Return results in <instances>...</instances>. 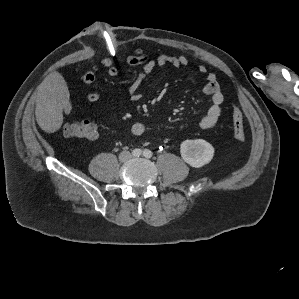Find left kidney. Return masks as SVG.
<instances>
[{
	"mask_svg": "<svg viewBox=\"0 0 299 299\" xmlns=\"http://www.w3.org/2000/svg\"><path fill=\"white\" fill-rule=\"evenodd\" d=\"M180 152L186 163L200 168L212 160L214 147L203 139L185 140L180 145Z\"/></svg>",
	"mask_w": 299,
	"mask_h": 299,
	"instance_id": "left-kidney-1",
	"label": "left kidney"
}]
</instances>
